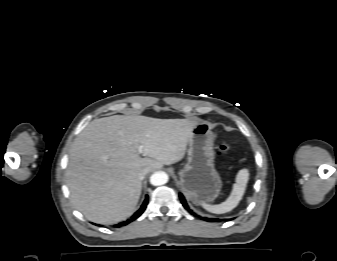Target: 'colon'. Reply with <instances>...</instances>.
<instances>
[{"label": "colon", "mask_w": 337, "mask_h": 261, "mask_svg": "<svg viewBox=\"0 0 337 261\" xmlns=\"http://www.w3.org/2000/svg\"><path fill=\"white\" fill-rule=\"evenodd\" d=\"M230 151V146L227 143H224L223 145L220 146L217 154L219 156H224Z\"/></svg>", "instance_id": "colon-1"}]
</instances>
